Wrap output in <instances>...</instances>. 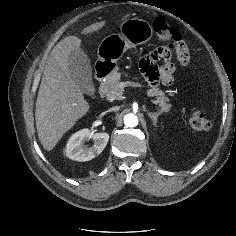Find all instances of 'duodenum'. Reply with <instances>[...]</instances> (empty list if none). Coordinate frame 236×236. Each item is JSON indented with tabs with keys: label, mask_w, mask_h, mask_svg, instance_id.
Wrapping results in <instances>:
<instances>
[{
	"label": "duodenum",
	"mask_w": 236,
	"mask_h": 236,
	"mask_svg": "<svg viewBox=\"0 0 236 236\" xmlns=\"http://www.w3.org/2000/svg\"><path fill=\"white\" fill-rule=\"evenodd\" d=\"M112 71V66L107 64H101L97 66L95 71V81L97 83L102 82V80Z\"/></svg>",
	"instance_id": "obj_1"
}]
</instances>
